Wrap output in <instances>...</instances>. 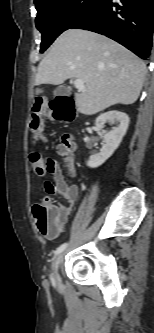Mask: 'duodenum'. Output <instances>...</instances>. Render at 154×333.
<instances>
[{
	"label": "duodenum",
	"instance_id": "410a0bca",
	"mask_svg": "<svg viewBox=\"0 0 154 333\" xmlns=\"http://www.w3.org/2000/svg\"><path fill=\"white\" fill-rule=\"evenodd\" d=\"M56 111L62 118L71 120L74 118L75 110L73 102L68 97H60L56 104Z\"/></svg>",
	"mask_w": 154,
	"mask_h": 333
}]
</instances>
